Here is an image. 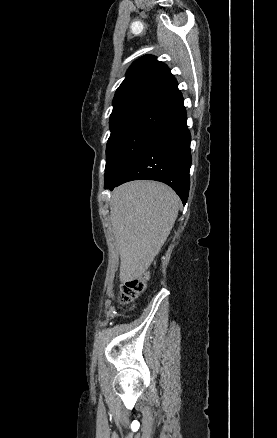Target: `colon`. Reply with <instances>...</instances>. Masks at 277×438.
Returning a JSON list of instances; mask_svg holds the SVG:
<instances>
[{
  "mask_svg": "<svg viewBox=\"0 0 277 438\" xmlns=\"http://www.w3.org/2000/svg\"><path fill=\"white\" fill-rule=\"evenodd\" d=\"M145 291V284L142 279L134 278L126 281L121 288L120 303L122 305L128 304L131 300L138 297Z\"/></svg>",
  "mask_w": 277,
  "mask_h": 438,
  "instance_id": "colon-1",
  "label": "colon"
}]
</instances>
